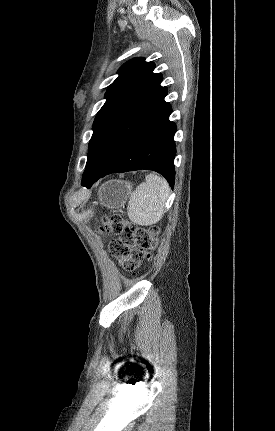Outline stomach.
I'll return each mask as SVG.
<instances>
[{"mask_svg":"<svg viewBox=\"0 0 275 431\" xmlns=\"http://www.w3.org/2000/svg\"><path fill=\"white\" fill-rule=\"evenodd\" d=\"M131 189V183L109 181L100 188L99 199L107 208L118 209L124 205Z\"/></svg>","mask_w":275,"mask_h":431,"instance_id":"0dacf381","label":"stomach"}]
</instances>
